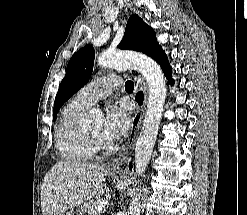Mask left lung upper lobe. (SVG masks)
Wrapping results in <instances>:
<instances>
[{
  "instance_id": "5c2ea615",
  "label": "left lung upper lobe",
  "mask_w": 247,
  "mask_h": 215,
  "mask_svg": "<svg viewBox=\"0 0 247 215\" xmlns=\"http://www.w3.org/2000/svg\"><path fill=\"white\" fill-rule=\"evenodd\" d=\"M118 47L142 52L151 57L160 45L157 43L154 30L138 15L133 14L127 22L124 37ZM94 58V48L86 45L70 59L66 75L55 98L53 120L62 105L88 82L92 74Z\"/></svg>"
}]
</instances>
